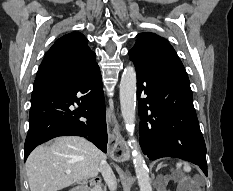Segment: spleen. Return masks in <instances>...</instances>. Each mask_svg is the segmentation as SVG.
<instances>
[{"mask_svg": "<svg viewBox=\"0 0 233 191\" xmlns=\"http://www.w3.org/2000/svg\"><path fill=\"white\" fill-rule=\"evenodd\" d=\"M182 166H183V171H184V172H190L191 167H190V165H189L188 163L179 161V162L176 164V167H177L178 169H180Z\"/></svg>", "mask_w": 233, "mask_h": 191, "instance_id": "spleen-1", "label": "spleen"}]
</instances>
